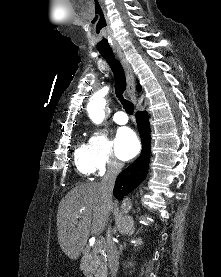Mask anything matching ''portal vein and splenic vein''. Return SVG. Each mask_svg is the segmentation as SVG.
Masks as SVG:
<instances>
[{"label":"portal vein and splenic vein","instance_id":"obj_1","mask_svg":"<svg viewBox=\"0 0 221 277\" xmlns=\"http://www.w3.org/2000/svg\"><path fill=\"white\" fill-rule=\"evenodd\" d=\"M96 242L98 243L99 246L102 245V240H97Z\"/></svg>","mask_w":221,"mask_h":277}]
</instances>
